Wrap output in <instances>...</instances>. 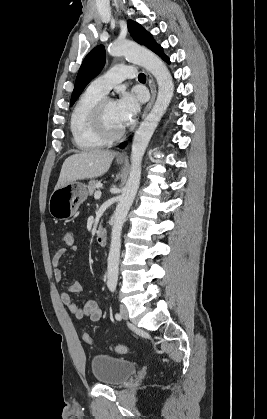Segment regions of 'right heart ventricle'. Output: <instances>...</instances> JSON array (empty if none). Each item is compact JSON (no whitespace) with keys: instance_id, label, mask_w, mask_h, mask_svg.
<instances>
[{"instance_id":"1","label":"right heart ventricle","mask_w":267,"mask_h":419,"mask_svg":"<svg viewBox=\"0 0 267 419\" xmlns=\"http://www.w3.org/2000/svg\"><path fill=\"white\" fill-rule=\"evenodd\" d=\"M104 96L105 94L89 87L79 97L72 109L70 130L74 144L82 151L95 150L106 144L96 134L91 119L94 107Z\"/></svg>"}]
</instances>
